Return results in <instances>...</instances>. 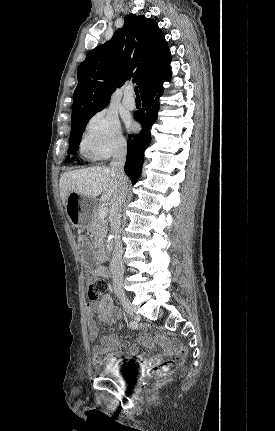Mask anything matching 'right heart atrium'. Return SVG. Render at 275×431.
Listing matches in <instances>:
<instances>
[{
	"label": "right heart atrium",
	"mask_w": 275,
	"mask_h": 431,
	"mask_svg": "<svg viewBox=\"0 0 275 431\" xmlns=\"http://www.w3.org/2000/svg\"><path fill=\"white\" fill-rule=\"evenodd\" d=\"M120 121L108 110L95 113L87 122L81 138V151L93 160H105L126 149Z\"/></svg>",
	"instance_id": "right-heart-atrium-1"
}]
</instances>
